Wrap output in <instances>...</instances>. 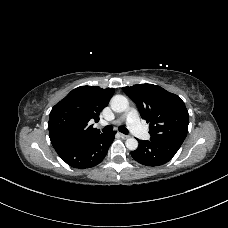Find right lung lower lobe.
<instances>
[{
  "label": "right lung lower lobe",
  "instance_id": "1",
  "mask_svg": "<svg viewBox=\"0 0 228 228\" xmlns=\"http://www.w3.org/2000/svg\"><path fill=\"white\" fill-rule=\"evenodd\" d=\"M115 133L112 131L86 140L64 143L54 149L69 166L79 169L90 168L104 159Z\"/></svg>",
  "mask_w": 228,
  "mask_h": 228
}]
</instances>
